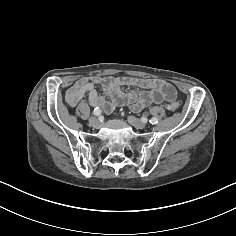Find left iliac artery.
<instances>
[{
	"label": "left iliac artery",
	"instance_id": "obj_1",
	"mask_svg": "<svg viewBox=\"0 0 236 236\" xmlns=\"http://www.w3.org/2000/svg\"><path fill=\"white\" fill-rule=\"evenodd\" d=\"M149 122H150L151 124H156V123H158V119H157L156 117H152V118L149 120Z\"/></svg>",
	"mask_w": 236,
	"mask_h": 236
}]
</instances>
